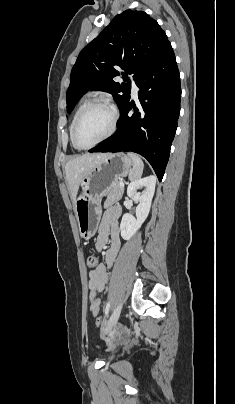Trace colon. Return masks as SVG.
I'll return each instance as SVG.
<instances>
[{"instance_id": "1", "label": "colon", "mask_w": 235, "mask_h": 404, "mask_svg": "<svg viewBox=\"0 0 235 404\" xmlns=\"http://www.w3.org/2000/svg\"><path fill=\"white\" fill-rule=\"evenodd\" d=\"M98 265H99V260H98V258H97L96 256L91 255V256H89V257L87 258V266H88L90 269H95ZM95 324H96L98 327H99V326H102V325H103V319H102V317L97 316L96 319H95Z\"/></svg>"}]
</instances>
